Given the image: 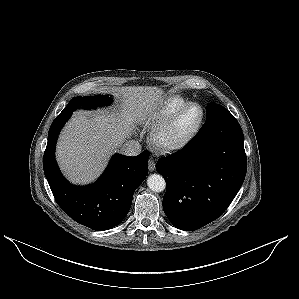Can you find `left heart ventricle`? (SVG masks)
<instances>
[{"label":"left heart ventricle","instance_id":"obj_1","mask_svg":"<svg viewBox=\"0 0 299 299\" xmlns=\"http://www.w3.org/2000/svg\"><path fill=\"white\" fill-rule=\"evenodd\" d=\"M201 110L190 106L177 118L174 124L161 136L164 144H175L183 140L198 124Z\"/></svg>","mask_w":299,"mask_h":299}]
</instances>
